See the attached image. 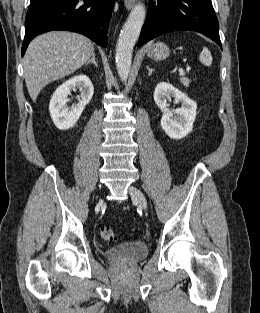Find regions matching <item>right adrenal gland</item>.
Listing matches in <instances>:
<instances>
[{
  "label": "right adrenal gland",
  "instance_id": "obj_1",
  "mask_svg": "<svg viewBox=\"0 0 260 313\" xmlns=\"http://www.w3.org/2000/svg\"><path fill=\"white\" fill-rule=\"evenodd\" d=\"M89 63H93L96 67L98 66L95 60V53L92 54V58L89 61H87L86 65H88Z\"/></svg>",
  "mask_w": 260,
  "mask_h": 313
}]
</instances>
